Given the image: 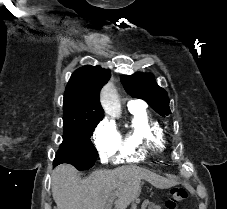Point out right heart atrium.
Wrapping results in <instances>:
<instances>
[{
	"instance_id": "1",
	"label": "right heart atrium",
	"mask_w": 227,
	"mask_h": 209,
	"mask_svg": "<svg viewBox=\"0 0 227 209\" xmlns=\"http://www.w3.org/2000/svg\"><path fill=\"white\" fill-rule=\"evenodd\" d=\"M93 139L101 160H107L115 152L120 134L111 122L104 120L96 127Z\"/></svg>"
}]
</instances>
